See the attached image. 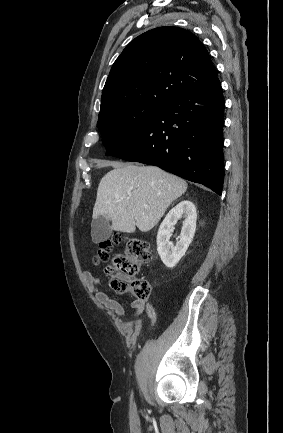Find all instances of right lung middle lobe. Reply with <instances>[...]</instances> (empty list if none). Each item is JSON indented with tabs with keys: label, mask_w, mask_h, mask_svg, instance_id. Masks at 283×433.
I'll use <instances>...</instances> for the list:
<instances>
[{
	"label": "right lung middle lobe",
	"mask_w": 283,
	"mask_h": 433,
	"mask_svg": "<svg viewBox=\"0 0 283 433\" xmlns=\"http://www.w3.org/2000/svg\"><path fill=\"white\" fill-rule=\"evenodd\" d=\"M164 107L150 103L124 104L100 112L97 126L102 134L106 155L123 151Z\"/></svg>",
	"instance_id": "right-lung-middle-lobe-1"
}]
</instances>
